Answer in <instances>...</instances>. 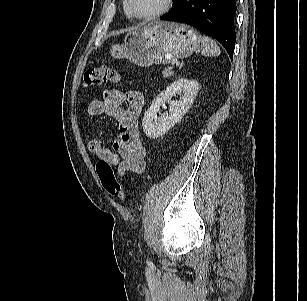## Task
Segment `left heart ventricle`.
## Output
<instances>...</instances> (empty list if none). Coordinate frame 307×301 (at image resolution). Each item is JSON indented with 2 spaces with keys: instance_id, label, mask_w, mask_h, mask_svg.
Here are the masks:
<instances>
[{
  "instance_id": "left-heart-ventricle-1",
  "label": "left heart ventricle",
  "mask_w": 307,
  "mask_h": 301,
  "mask_svg": "<svg viewBox=\"0 0 307 301\" xmlns=\"http://www.w3.org/2000/svg\"><path fill=\"white\" fill-rule=\"evenodd\" d=\"M165 0H132L135 11L142 15H148L161 9Z\"/></svg>"
}]
</instances>
